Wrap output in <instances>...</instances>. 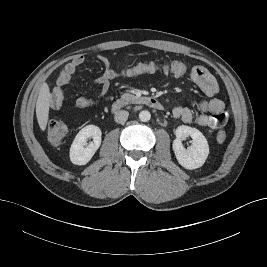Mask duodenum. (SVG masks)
Returning a JSON list of instances; mask_svg holds the SVG:
<instances>
[{"mask_svg":"<svg viewBox=\"0 0 267 267\" xmlns=\"http://www.w3.org/2000/svg\"><path fill=\"white\" fill-rule=\"evenodd\" d=\"M145 105L152 109L163 110V104L153 96H141L133 99L120 98L112 104V111L117 112L129 104Z\"/></svg>","mask_w":267,"mask_h":267,"instance_id":"1","label":"duodenum"}]
</instances>
